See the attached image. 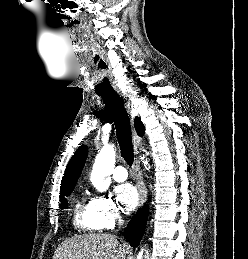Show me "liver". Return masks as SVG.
I'll list each match as a JSON object with an SVG mask.
<instances>
[{
    "label": "liver",
    "mask_w": 248,
    "mask_h": 259,
    "mask_svg": "<svg viewBox=\"0 0 248 259\" xmlns=\"http://www.w3.org/2000/svg\"><path fill=\"white\" fill-rule=\"evenodd\" d=\"M129 246L111 234H84L65 240L53 259H125Z\"/></svg>",
    "instance_id": "6515ba94"
}]
</instances>
